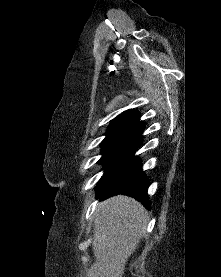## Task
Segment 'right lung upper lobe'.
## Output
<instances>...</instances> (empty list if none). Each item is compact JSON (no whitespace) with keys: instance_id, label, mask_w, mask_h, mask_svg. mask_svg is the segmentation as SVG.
<instances>
[{"instance_id":"obj_1","label":"right lung upper lobe","mask_w":221,"mask_h":277,"mask_svg":"<svg viewBox=\"0 0 221 277\" xmlns=\"http://www.w3.org/2000/svg\"><path fill=\"white\" fill-rule=\"evenodd\" d=\"M140 113L135 110H127L118 115L109 126L143 125L139 120Z\"/></svg>"}]
</instances>
